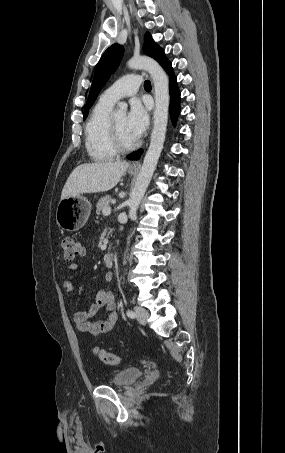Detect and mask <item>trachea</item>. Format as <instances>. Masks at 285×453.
Segmentation results:
<instances>
[{
  "mask_svg": "<svg viewBox=\"0 0 285 453\" xmlns=\"http://www.w3.org/2000/svg\"><path fill=\"white\" fill-rule=\"evenodd\" d=\"M144 88H151V82L149 80L144 82Z\"/></svg>",
  "mask_w": 285,
  "mask_h": 453,
  "instance_id": "1",
  "label": "trachea"
}]
</instances>
